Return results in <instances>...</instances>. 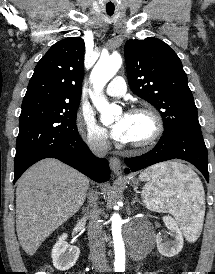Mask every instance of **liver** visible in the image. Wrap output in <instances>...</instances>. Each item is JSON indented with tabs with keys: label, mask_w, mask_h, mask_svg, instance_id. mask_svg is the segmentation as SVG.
Instances as JSON below:
<instances>
[{
	"label": "liver",
	"mask_w": 215,
	"mask_h": 274,
	"mask_svg": "<svg viewBox=\"0 0 215 274\" xmlns=\"http://www.w3.org/2000/svg\"><path fill=\"white\" fill-rule=\"evenodd\" d=\"M89 179L56 159L31 166L18 180L16 231L19 243L33 255L42 242L83 205Z\"/></svg>",
	"instance_id": "6515ba94"
}]
</instances>
